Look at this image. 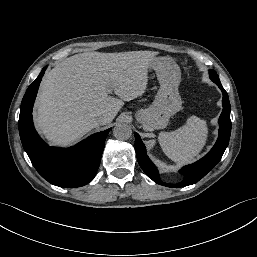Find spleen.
<instances>
[{
  "mask_svg": "<svg viewBox=\"0 0 257 257\" xmlns=\"http://www.w3.org/2000/svg\"><path fill=\"white\" fill-rule=\"evenodd\" d=\"M207 138L206 121L191 116L187 123L179 129L161 133L159 143L168 158L179 165H184L192 162L201 152Z\"/></svg>",
  "mask_w": 257,
  "mask_h": 257,
  "instance_id": "1",
  "label": "spleen"
}]
</instances>
